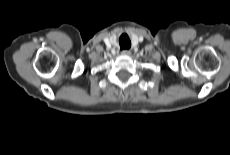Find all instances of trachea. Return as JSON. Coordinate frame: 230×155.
<instances>
[{"label":"trachea","instance_id":"obj_1","mask_svg":"<svg viewBox=\"0 0 230 155\" xmlns=\"http://www.w3.org/2000/svg\"><path fill=\"white\" fill-rule=\"evenodd\" d=\"M119 44L121 50H128L131 47V41L127 34H122L119 38Z\"/></svg>","mask_w":230,"mask_h":155}]
</instances>
